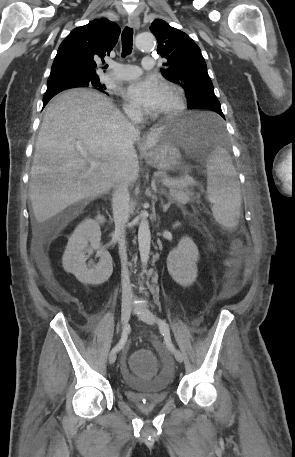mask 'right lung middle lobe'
I'll return each instance as SVG.
<instances>
[{"label":"right lung middle lobe","mask_w":295,"mask_h":457,"mask_svg":"<svg viewBox=\"0 0 295 457\" xmlns=\"http://www.w3.org/2000/svg\"><path fill=\"white\" fill-rule=\"evenodd\" d=\"M93 87L95 89H98L100 91H103L104 89H106L105 85L101 84L100 81H99V78L98 77H90V78H87L84 82V85L81 86V87ZM60 91H56V90H51V89H48L46 91V93L44 94V97H43V100L45 102H48L54 95H56L57 93H59Z\"/></svg>","instance_id":"right-lung-middle-lobe-1"}]
</instances>
